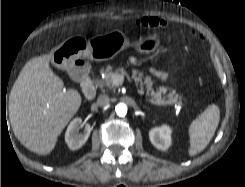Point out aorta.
I'll list each match as a JSON object with an SVG mask.
<instances>
[{"label": "aorta", "instance_id": "aorta-1", "mask_svg": "<svg viewBox=\"0 0 245 187\" xmlns=\"http://www.w3.org/2000/svg\"><path fill=\"white\" fill-rule=\"evenodd\" d=\"M115 110H116L117 115H119L120 117H123L127 114V106L124 103L117 104V106L115 107Z\"/></svg>", "mask_w": 245, "mask_h": 187}]
</instances>
